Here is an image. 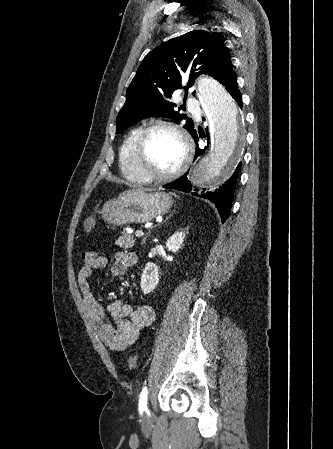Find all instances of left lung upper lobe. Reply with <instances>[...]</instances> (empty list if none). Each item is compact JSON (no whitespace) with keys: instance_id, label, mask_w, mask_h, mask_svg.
<instances>
[{"instance_id":"5c2ea615","label":"left lung upper lobe","mask_w":333,"mask_h":449,"mask_svg":"<svg viewBox=\"0 0 333 449\" xmlns=\"http://www.w3.org/2000/svg\"><path fill=\"white\" fill-rule=\"evenodd\" d=\"M191 65L186 91L200 73L223 83L232 72L224 42L205 30H194L161 44L144 58L129 85L126 102L116 119V132L121 133L134 122L148 117H170L177 123L186 119L187 116L175 110L176 104L170 98L174 91L182 88V73ZM196 70L201 71L194 73ZM184 128L190 134L196 132L190 118Z\"/></svg>"}]
</instances>
